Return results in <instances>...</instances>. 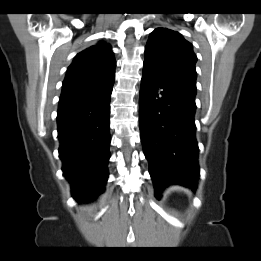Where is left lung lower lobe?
Segmentation results:
<instances>
[{"instance_id":"obj_1","label":"left lung lower lobe","mask_w":261,"mask_h":261,"mask_svg":"<svg viewBox=\"0 0 261 261\" xmlns=\"http://www.w3.org/2000/svg\"><path fill=\"white\" fill-rule=\"evenodd\" d=\"M196 88L143 65L139 126L156 197L171 184L196 187Z\"/></svg>"}]
</instances>
